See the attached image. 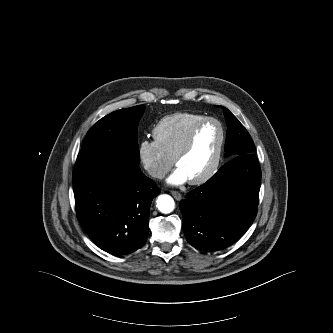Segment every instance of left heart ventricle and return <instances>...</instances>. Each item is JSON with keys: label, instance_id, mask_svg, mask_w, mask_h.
Listing matches in <instances>:
<instances>
[{"label": "left heart ventricle", "instance_id": "1", "mask_svg": "<svg viewBox=\"0 0 333 333\" xmlns=\"http://www.w3.org/2000/svg\"><path fill=\"white\" fill-rule=\"evenodd\" d=\"M220 142V129L217 124L210 123L197 133L191 150L179 159L177 167L188 180L198 178L212 165Z\"/></svg>", "mask_w": 333, "mask_h": 333}]
</instances>
